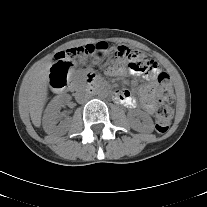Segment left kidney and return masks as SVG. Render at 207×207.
<instances>
[{
    "instance_id": "left-kidney-1",
    "label": "left kidney",
    "mask_w": 207,
    "mask_h": 207,
    "mask_svg": "<svg viewBox=\"0 0 207 207\" xmlns=\"http://www.w3.org/2000/svg\"><path fill=\"white\" fill-rule=\"evenodd\" d=\"M128 117L132 129H134L135 131L141 133H151L154 130L153 120L147 113L141 110H135L129 112ZM139 118L142 120V122L140 121Z\"/></svg>"
}]
</instances>
